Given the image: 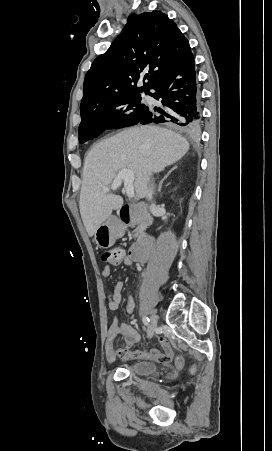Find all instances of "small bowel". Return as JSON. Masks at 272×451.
I'll return each mask as SVG.
<instances>
[{"instance_id":"obj_1","label":"small bowel","mask_w":272,"mask_h":451,"mask_svg":"<svg viewBox=\"0 0 272 451\" xmlns=\"http://www.w3.org/2000/svg\"><path fill=\"white\" fill-rule=\"evenodd\" d=\"M101 274L103 278H109L111 276V266L106 264L103 267ZM123 287V278L120 276L114 286V290L109 293L108 306L111 311L118 310L122 299L121 291ZM134 307V299L132 296H129L125 305V312L129 314L132 313L134 311ZM119 336L122 338L123 347L114 348L112 341ZM140 339L141 336L134 327L125 323H120L117 317H114L113 322L108 329V344L106 346V358L108 362H114L117 358L122 360L147 359L162 362L158 359L159 352H173L175 356L171 342L163 337L159 339V344L162 350H130V348L137 344Z\"/></svg>"}]
</instances>
